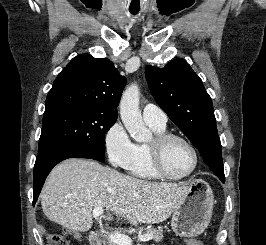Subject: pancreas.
<instances>
[{
	"mask_svg": "<svg viewBox=\"0 0 266 245\" xmlns=\"http://www.w3.org/2000/svg\"><path fill=\"white\" fill-rule=\"evenodd\" d=\"M137 235H152V241H156V243L163 241L162 231H156V229H144L142 233H137ZM109 245H115V243H109Z\"/></svg>",
	"mask_w": 266,
	"mask_h": 245,
	"instance_id": "obj_1",
	"label": "pancreas"
}]
</instances>
